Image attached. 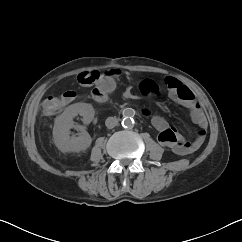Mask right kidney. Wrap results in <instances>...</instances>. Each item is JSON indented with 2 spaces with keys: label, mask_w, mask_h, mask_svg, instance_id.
<instances>
[{
  "label": "right kidney",
  "mask_w": 242,
  "mask_h": 242,
  "mask_svg": "<svg viewBox=\"0 0 242 242\" xmlns=\"http://www.w3.org/2000/svg\"><path fill=\"white\" fill-rule=\"evenodd\" d=\"M94 114L92 105L88 103L79 102L68 106L55 119L53 141L56 147L63 153L87 150L92 143V138L84 126L74 124L73 118L77 115L83 116V123L89 124L93 120ZM72 128L80 130L78 137H70V129Z\"/></svg>",
  "instance_id": "ca27d5eb"
}]
</instances>
